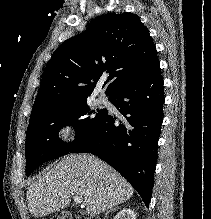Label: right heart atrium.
<instances>
[{"instance_id":"1","label":"right heart atrium","mask_w":211,"mask_h":219,"mask_svg":"<svg viewBox=\"0 0 211 219\" xmlns=\"http://www.w3.org/2000/svg\"><path fill=\"white\" fill-rule=\"evenodd\" d=\"M78 127L76 122L71 118L61 120L55 127V140L62 145H71L76 141Z\"/></svg>"}]
</instances>
